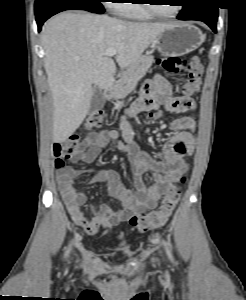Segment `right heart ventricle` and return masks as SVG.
I'll use <instances>...</instances> for the list:
<instances>
[{"label": "right heart ventricle", "instance_id": "e07e8e85", "mask_svg": "<svg viewBox=\"0 0 246 300\" xmlns=\"http://www.w3.org/2000/svg\"><path fill=\"white\" fill-rule=\"evenodd\" d=\"M140 2V0H126L125 3L118 4L116 12L122 17L138 21H149L154 19V15H152L146 9L144 4Z\"/></svg>", "mask_w": 246, "mask_h": 300}]
</instances>
